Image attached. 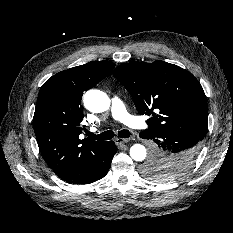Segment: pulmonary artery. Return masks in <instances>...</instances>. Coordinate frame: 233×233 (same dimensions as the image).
<instances>
[{
    "instance_id": "1",
    "label": "pulmonary artery",
    "mask_w": 233,
    "mask_h": 233,
    "mask_svg": "<svg viewBox=\"0 0 233 233\" xmlns=\"http://www.w3.org/2000/svg\"><path fill=\"white\" fill-rule=\"evenodd\" d=\"M111 114L115 120H119L131 128L138 130L147 128V124L141 118L133 116L127 112L125 105L118 97L112 98Z\"/></svg>"
}]
</instances>
